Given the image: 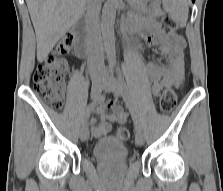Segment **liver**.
Instances as JSON below:
<instances>
[{"label": "liver", "mask_w": 223, "mask_h": 191, "mask_svg": "<svg viewBox=\"0 0 223 191\" xmlns=\"http://www.w3.org/2000/svg\"><path fill=\"white\" fill-rule=\"evenodd\" d=\"M37 40V59L43 62L55 44L85 11L86 0H26Z\"/></svg>", "instance_id": "liver-1"}]
</instances>
